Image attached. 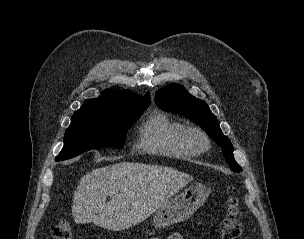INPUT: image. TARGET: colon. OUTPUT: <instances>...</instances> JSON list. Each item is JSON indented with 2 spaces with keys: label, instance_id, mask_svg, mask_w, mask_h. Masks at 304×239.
<instances>
[{
  "label": "colon",
  "instance_id": "1",
  "mask_svg": "<svg viewBox=\"0 0 304 239\" xmlns=\"http://www.w3.org/2000/svg\"><path fill=\"white\" fill-rule=\"evenodd\" d=\"M226 200L227 215L221 222L220 231L222 239H237L242 232V209L235 190L228 188ZM53 239H72L70 224L67 220H59L51 228Z\"/></svg>",
  "mask_w": 304,
  "mask_h": 239
}]
</instances>
